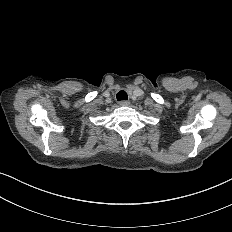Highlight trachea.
I'll return each mask as SVG.
<instances>
[{"instance_id":"3493384b","label":"trachea","mask_w":232,"mask_h":232,"mask_svg":"<svg viewBox=\"0 0 232 232\" xmlns=\"http://www.w3.org/2000/svg\"><path fill=\"white\" fill-rule=\"evenodd\" d=\"M117 100L121 101V100H127L128 99V95L125 91H119L116 95Z\"/></svg>"}]
</instances>
